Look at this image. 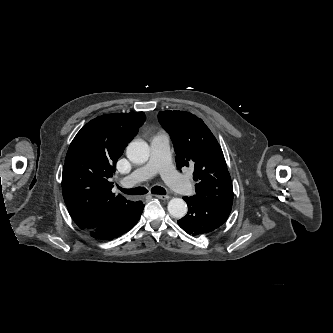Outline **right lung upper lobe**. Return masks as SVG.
<instances>
[{
    "mask_svg": "<svg viewBox=\"0 0 333 333\" xmlns=\"http://www.w3.org/2000/svg\"><path fill=\"white\" fill-rule=\"evenodd\" d=\"M145 118L144 112L102 115L87 123L71 142L63 167L62 192L79 228L93 229L131 207V201L111 191L110 177Z\"/></svg>",
    "mask_w": 333,
    "mask_h": 333,
    "instance_id": "obj_1",
    "label": "right lung upper lobe"
}]
</instances>
